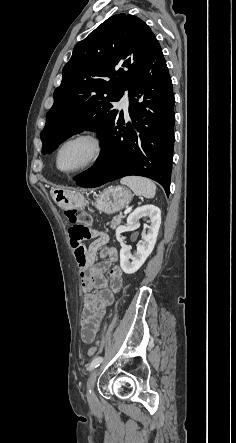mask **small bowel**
<instances>
[{"instance_id":"obj_1","label":"small bowel","mask_w":236,"mask_h":443,"mask_svg":"<svg viewBox=\"0 0 236 443\" xmlns=\"http://www.w3.org/2000/svg\"><path fill=\"white\" fill-rule=\"evenodd\" d=\"M97 238L86 249L82 240L71 238L75 258L81 275V285L85 292L83 311L81 316V337L85 343H90L97 337L102 319L107 309L114 301L115 293L123 285V272L117 261L119 253L116 247L107 246L108 237L104 233H97ZM97 255L106 259L96 263ZM108 270V277L104 272ZM97 288L96 293L91 289Z\"/></svg>"}]
</instances>
